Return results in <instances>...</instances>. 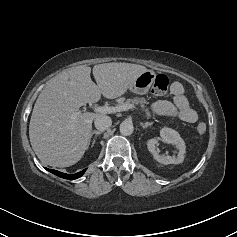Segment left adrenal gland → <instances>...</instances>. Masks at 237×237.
<instances>
[{"label": "left adrenal gland", "mask_w": 237, "mask_h": 237, "mask_svg": "<svg viewBox=\"0 0 237 237\" xmlns=\"http://www.w3.org/2000/svg\"><path fill=\"white\" fill-rule=\"evenodd\" d=\"M152 123H149V122H146L145 124L144 123H141V126L143 129H146L148 126H151Z\"/></svg>", "instance_id": "a2214340"}]
</instances>
